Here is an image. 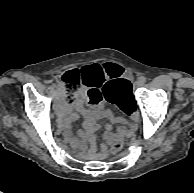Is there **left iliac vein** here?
<instances>
[{
	"label": "left iliac vein",
	"mask_w": 194,
	"mask_h": 193,
	"mask_svg": "<svg viewBox=\"0 0 194 193\" xmlns=\"http://www.w3.org/2000/svg\"><path fill=\"white\" fill-rule=\"evenodd\" d=\"M135 85L138 87V86L142 85V83H141L140 80H137V81L135 82Z\"/></svg>",
	"instance_id": "obj_1"
}]
</instances>
